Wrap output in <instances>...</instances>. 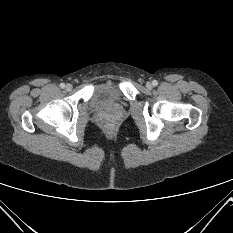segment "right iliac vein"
<instances>
[{"instance_id": "obj_1", "label": "right iliac vein", "mask_w": 233, "mask_h": 233, "mask_svg": "<svg viewBox=\"0 0 233 233\" xmlns=\"http://www.w3.org/2000/svg\"><path fill=\"white\" fill-rule=\"evenodd\" d=\"M71 89H72V85H71V84H67V85H66V90H67V91H70Z\"/></svg>"}]
</instances>
